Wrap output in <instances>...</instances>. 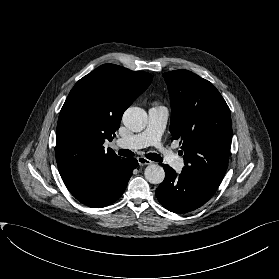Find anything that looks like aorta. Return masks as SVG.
<instances>
[{"label": "aorta", "mask_w": 279, "mask_h": 279, "mask_svg": "<svg viewBox=\"0 0 279 279\" xmlns=\"http://www.w3.org/2000/svg\"><path fill=\"white\" fill-rule=\"evenodd\" d=\"M123 124L133 132L142 131L147 125V113L139 107H130L123 114ZM145 178L151 184H160L165 178L164 169L157 164L145 168Z\"/></svg>", "instance_id": "762f6f07"}]
</instances>
